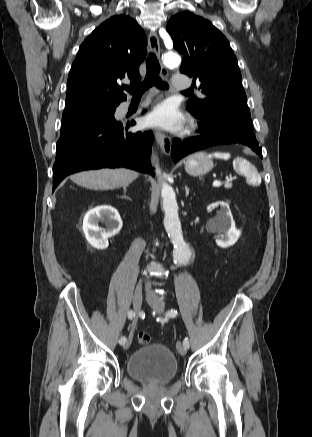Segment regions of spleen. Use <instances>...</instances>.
I'll return each mask as SVG.
<instances>
[{
	"mask_svg": "<svg viewBox=\"0 0 312 437\" xmlns=\"http://www.w3.org/2000/svg\"><path fill=\"white\" fill-rule=\"evenodd\" d=\"M210 156H214L216 158H220V159H224V160H228L230 158V154L229 153H221V152H216ZM233 167L234 170L236 172L239 173H243L245 175H247V177L249 178V181L252 184H260L261 183V178L259 176H257L250 167V163L243 159V158H236L233 162Z\"/></svg>",
	"mask_w": 312,
	"mask_h": 437,
	"instance_id": "3e777b00",
	"label": "spleen"
}]
</instances>
